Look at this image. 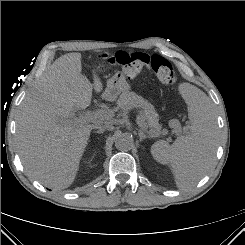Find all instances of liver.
<instances>
[{
	"label": "liver",
	"mask_w": 245,
	"mask_h": 245,
	"mask_svg": "<svg viewBox=\"0 0 245 245\" xmlns=\"http://www.w3.org/2000/svg\"><path fill=\"white\" fill-rule=\"evenodd\" d=\"M93 89L102 91L100 78L93 71L91 83L82 74L81 53H68L47 68L20 105L16 145L21 162L48 188L73 183L91 130L101 124L72 118L90 105Z\"/></svg>",
	"instance_id": "obj_1"
}]
</instances>
